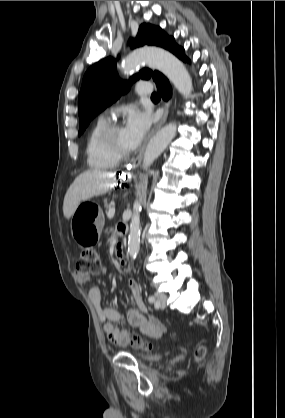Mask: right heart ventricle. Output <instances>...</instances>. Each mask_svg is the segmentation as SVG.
Listing matches in <instances>:
<instances>
[{"label":"right heart ventricle","mask_w":285,"mask_h":418,"mask_svg":"<svg viewBox=\"0 0 285 418\" xmlns=\"http://www.w3.org/2000/svg\"><path fill=\"white\" fill-rule=\"evenodd\" d=\"M107 124L105 119H98L89 130L85 140V155L89 168L100 171L116 166L119 161L105 155L97 143V137L101 129Z\"/></svg>","instance_id":"e07e8e85"}]
</instances>
